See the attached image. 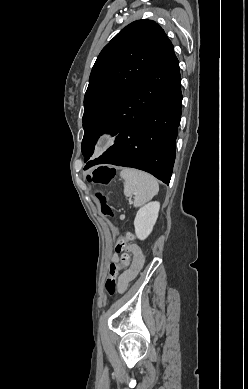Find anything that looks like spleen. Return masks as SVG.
Instances as JSON below:
<instances>
[{"label":"spleen","instance_id":"obj_1","mask_svg":"<svg viewBox=\"0 0 248 389\" xmlns=\"http://www.w3.org/2000/svg\"><path fill=\"white\" fill-rule=\"evenodd\" d=\"M124 180V194L134 195V207H140L151 200L159 191L155 177L137 169L126 168L121 172Z\"/></svg>","mask_w":248,"mask_h":389}]
</instances>
